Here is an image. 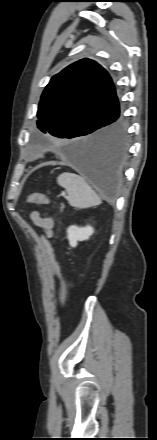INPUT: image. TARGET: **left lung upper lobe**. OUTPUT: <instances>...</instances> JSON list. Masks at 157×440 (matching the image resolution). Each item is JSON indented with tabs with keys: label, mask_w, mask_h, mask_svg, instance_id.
Returning a JSON list of instances; mask_svg holds the SVG:
<instances>
[{
	"label": "left lung upper lobe",
	"mask_w": 157,
	"mask_h": 440,
	"mask_svg": "<svg viewBox=\"0 0 157 440\" xmlns=\"http://www.w3.org/2000/svg\"><path fill=\"white\" fill-rule=\"evenodd\" d=\"M119 110L111 77L98 63L85 58L52 77L41 96L37 125L63 143L66 140L60 139L95 136Z\"/></svg>",
	"instance_id": "left-lung-upper-lobe-1"
}]
</instances>
